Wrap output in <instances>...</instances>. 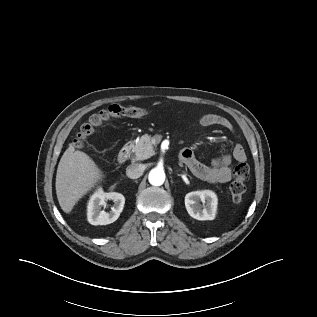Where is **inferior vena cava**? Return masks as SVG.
<instances>
[{
    "label": "inferior vena cava",
    "mask_w": 317,
    "mask_h": 317,
    "mask_svg": "<svg viewBox=\"0 0 317 317\" xmlns=\"http://www.w3.org/2000/svg\"><path fill=\"white\" fill-rule=\"evenodd\" d=\"M144 169L141 164H132L127 167L126 175L131 179H137L143 174Z\"/></svg>",
    "instance_id": "602c4592"
}]
</instances>
